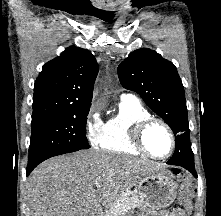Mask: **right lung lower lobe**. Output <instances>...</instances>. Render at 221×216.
<instances>
[{
	"mask_svg": "<svg viewBox=\"0 0 221 216\" xmlns=\"http://www.w3.org/2000/svg\"><path fill=\"white\" fill-rule=\"evenodd\" d=\"M38 164H33L30 166H27L26 175H29L31 171L37 166Z\"/></svg>",
	"mask_w": 221,
	"mask_h": 216,
	"instance_id": "98d812e1",
	"label": "right lung lower lobe"
}]
</instances>
